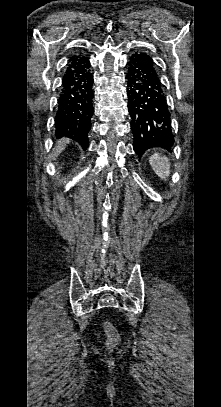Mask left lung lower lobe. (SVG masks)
<instances>
[{
  "label": "left lung lower lobe",
  "instance_id": "left-lung-lower-lobe-1",
  "mask_svg": "<svg viewBox=\"0 0 221 407\" xmlns=\"http://www.w3.org/2000/svg\"><path fill=\"white\" fill-rule=\"evenodd\" d=\"M126 79L134 151L140 157L152 147L169 150L174 143L170 112L159 72L150 55L132 54Z\"/></svg>",
  "mask_w": 221,
  "mask_h": 407
}]
</instances>
